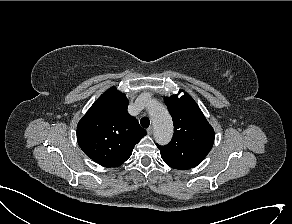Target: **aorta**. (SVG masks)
I'll use <instances>...</instances> for the list:
<instances>
[{"mask_svg": "<svg viewBox=\"0 0 292 224\" xmlns=\"http://www.w3.org/2000/svg\"><path fill=\"white\" fill-rule=\"evenodd\" d=\"M148 110L156 142L161 145L167 144L173 135V122L168 110L156 100L150 101Z\"/></svg>", "mask_w": 292, "mask_h": 224, "instance_id": "obj_1", "label": "aorta"}]
</instances>
